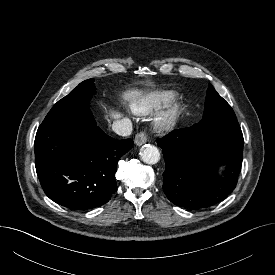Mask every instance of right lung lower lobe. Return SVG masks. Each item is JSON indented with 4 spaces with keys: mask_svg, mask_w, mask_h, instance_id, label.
Wrapping results in <instances>:
<instances>
[{
    "mask_svg": "<svg viewBox=\"0 0 275 275\" xmlns=\"http://www.w3.org/2000/svg\"><path fill=\"white\" fill-rule=\"evenodd\" d=\"M133 140L106 135L89 110L43 121L36 133L35 167L45 194L73 209L99 207L117 189V162Z\"/></svg>",
    "mask_w": 275,
    "mask_h": 275,
    "instance_id": "right-lung-lower-lobe-1",
    "label": "right lung lower lobe"
}]
</instances>
